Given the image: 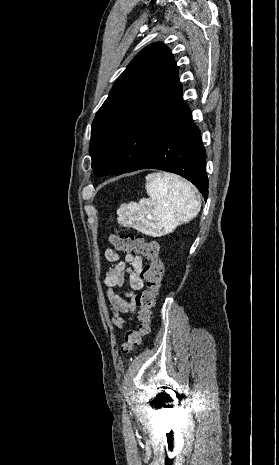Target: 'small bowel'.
I'll use <instances>...</instances> for the list:
<instances>
[{"label":"small bowel","instance_id":"1","mask_svg":"<svg viewBox=\"0 0 279 465\" xmlns=\"http://www.w3.org/2000/svg\"><path fill=\"white\" fill-rule=\"evenodd\" d=\"M104 258L114 263L113 267L106 273L104 285L106 287V300L113 315L111 322L122 328L131 320L121 316L123 313L133 312L136 309L135 296L144 286L142 278L143 260L136 254L126 253L123 257L114 249L108 248L104 252ZM129 265V267H127ZM127 281V289L123 295L129 298L125 300L120 295V290Z\"/></svg>","mask_w":279,"mask_h":465}]
</instances>
